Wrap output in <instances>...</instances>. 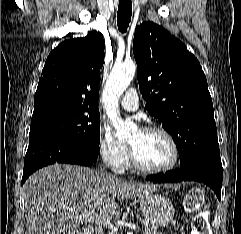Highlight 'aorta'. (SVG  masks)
I'll use <instances>...</instances> for the list:
<instances>
[{
  "instance_id": "aorta-1",
  "label": "aorta",
  "mask_w": 241,
  "mask_h": 234,
  "mask_svg": "<svg viewBox=\"0 0 241 234\" xmlns=\"http://www.w3.org/2000/svg\"><path fill=\"white\" fill-rule=\"evenodd\" d=\"M135 72L136 64L132 61L114 65L104 88L103 101L106 114L116 130L118 139L129 138L135 130V125L132 122L123 121L118 112L119 98L131 83Z\"/></svg>"
}]
</instances>
